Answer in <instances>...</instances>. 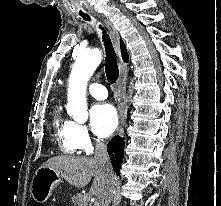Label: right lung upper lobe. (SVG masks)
Wrapping results in <instances>:
<instances>
[{
  "instance_id": "obj_1",
  "label": "right lung upper lobe",
  "mask_w": 221,
  "mask_h": 206,
  "mask_svg": "<svg viewBox=\"0 0 221 206\" xmlns=\"http://www.w3.org/2000/svg\"><path fill=\"white\" fill-rule=\"evenodd\" d=\"M120 44H121V52H122L123 60H124L125 62H127L128 59H129V57H128L126 48H125L124 43H123L122 41H120Z\"/></svg>"
}]
</instances>
